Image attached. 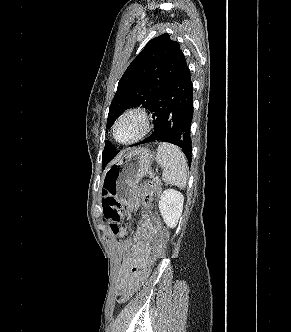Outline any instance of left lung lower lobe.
<instances>
[{
    "label": "left lung lower lobe",
    "mask_w": 291,
    "mask_h": 332,
    "mask_svg": "<svg viewBox=\"0 0 291 332\" xmlns=\"http://www.w3.org/2000/svg\"><path fill=\"white\" fill-rule=\"evenodd\" d=\"M150 111L153 112L154 132L144 141L131 146L152 141L169 142L182 148L186 159L191 163L190 128L193 118V84L184 55L174 74L156 97Z\"/></svg>",
    "instance_id": "1"
}]
</instances>
